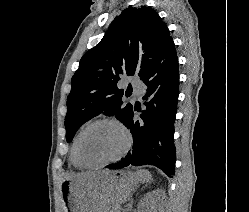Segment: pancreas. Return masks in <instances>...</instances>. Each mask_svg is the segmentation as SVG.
I'll return each mask as SVG.
<instances>
[{
	"instance_id": "pancreas-1",
	"label": "pancreas",
	"mask_w": 249,
	"mask_h": 212,
	"mask_svg": "<svg viewBox=\"0 0 249 212\" xmlns=\"http://www.w3.org/2000/svg\"><path fill=\"white\" fill-rule=\"evenodd\" d=\"M106 212H117V210H110V208H107Z\"/></svg>"
}]
</instances>
